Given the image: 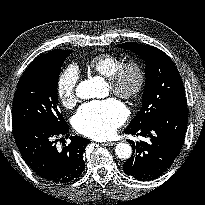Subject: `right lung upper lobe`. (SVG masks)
Listing matches in <instances>:
<instances>
[{
	"label": "right lung upper lobe",
	"mask_w": 205,
	"mask_h": 205,
	"mask_svg": "<svg viewBox=\"0 0 205 205\" xmlns=\"http://www.w3.org/2000/svg\"><path fill=\"white\" fill-rule=\"evenodd\" d=\"M58 51H63V50L56 49V50H53L51 52H58ZM68 52H71V51H68Z\"/></svg>",
	"instance_id": "1"
}]
</instances>
